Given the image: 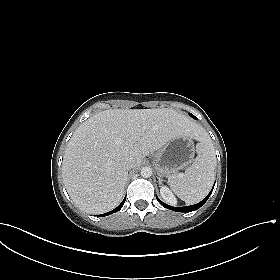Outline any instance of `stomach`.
Returning <instances> with one entry per match:
<instances>
[{
	"instance_id": "1",
	"label": "stomach",
	"mask_w": 280,
	"mask_h": 280,
	"mask_svg": "<svg viewBox=\"0 0 280 280\" xmlns=\"http://www.w3.org/2000/svg\"><path fill=\"white\" fill-rule=\"evenodd\" d=\"M193 138L180 135L172 138L154 154L153 165L161 177H169L188 166L194 158Z\"/></svg>"
}]
</instances>
